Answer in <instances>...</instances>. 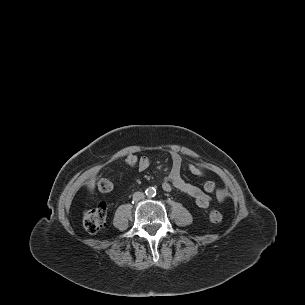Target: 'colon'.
<instances>
[{"mask_svg": "<svg viewBox=\"0 0 305 305\" xmlns=\"http://www.w3.org/2000/svg\"><path fill=\"white\" fill-rule=\"evenodd\" d=\"M140 156L135 151L127 152L123 157V165L127 167L138 166ZM98 188L102 192H109L113 188V183L108 178H102L98 182ZM107 217V206L104 203L98 204L96 207L87 209L83 213V224L89 233H96L104 227ZM209 220L212 223H218L222 220V214L218 210H212L209 213Z\"/></svg>", "mask_w": 305, "mask_h": 305, "instance_id": "1", "label": "colon"}]
</instances>
